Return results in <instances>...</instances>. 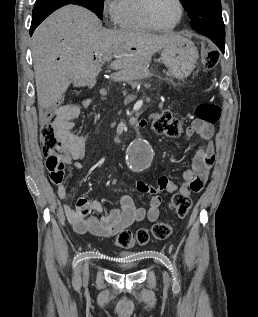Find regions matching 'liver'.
I'll return each instance as SVG.
<instances>
[{"label":"liver","mask_w":258,"mask_h":317,"mask_svg":"<svg viewBox=\"0 0 258 317\" xmlns=\"http://www.w3.org/2000/svg\"><path fill=\"white\" fill-rule=\"evenodd\" d=\"M101 20L87 8L67 4L43 20L32 36V58L38 102L56 104L70 82L85 86L96 82L100 58L113 52L110 68L146 70L154 52L179 42L181 34H151L142 30H98Z\"/></svg>","instance_id":"6515ba94"}]
</instances>
